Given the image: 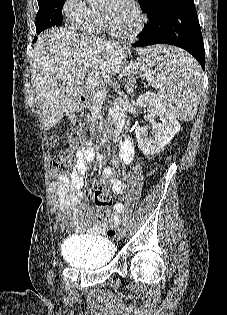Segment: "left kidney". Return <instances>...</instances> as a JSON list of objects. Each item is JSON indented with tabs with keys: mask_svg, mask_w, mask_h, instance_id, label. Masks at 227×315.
I'll use <instances>...</instances> for the list:
<instances>
[{
	"mask_svg": "<svg viewBox=\"0 0 227 315\" xmlns=\"http://www.w3.org/2000/svg\"><path fill=\"white\" fill-rule=\"evenodd\" d=\"M136 106L148 108L151 118H160V122L154 125L156 129L154 136H148L147 128L143 126H138L135 130L140 150L147 156H154L170 143L172 138L180 131L181 125L155 93L146 92L141 94L136 100Z\"/></svg>",
	"mask_w": 227,
	"mask_h": 315,
	"instance_id": "obj_1",
	"label": "left kidney"
}]
</instances>
